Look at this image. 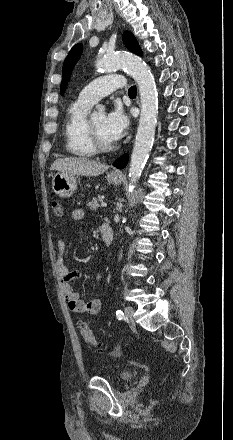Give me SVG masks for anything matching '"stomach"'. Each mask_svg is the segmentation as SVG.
I'll return each instance as SVG.
<instances>
[{"instance_id": "obj_1", "label": "stomach", "mask_w": 233, "mask_h": 440, "mask_svg": "<svg viewBox=\"0 0 233 440\" xmlns=\"http://www.w3.org/2000/svg\"><path fill=\"white\" fill-rule=\"evenodd\" d=\"M107 180L109 183L117 185L121 182V176L108 173ZM52 189L62 198L71 197L77 189L76 176L62 172L56 173L52 179Z\"/></svg>"}]
</instances>
